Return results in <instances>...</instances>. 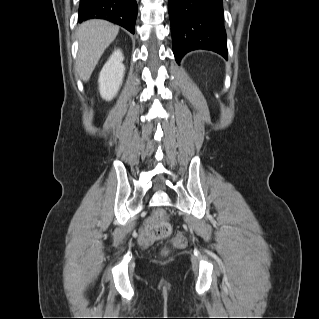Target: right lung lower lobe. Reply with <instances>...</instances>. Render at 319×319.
Returning <instances> with one entry per match:
<instances>
[{
    "label": "right lung lower lobe",
    "mask_w": 319,
    "mask_h": 319,
    "mask_svg": "<svg viewBox=\"0 0 319 319\" xmlns=\"http://www.w3.org/2000/svg\"><path fill=\"white\" fill-rule=\"evenodd\" d=\"M136 0H80L78 21L105 19L135 33Z\"/></svg>",
    "instance_id": "obj_1"
}]
</instances>
